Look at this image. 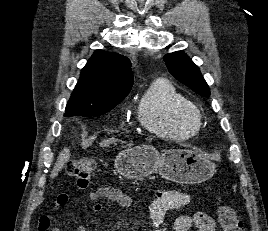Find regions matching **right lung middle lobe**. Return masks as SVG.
Here are the masks:
<instances>
[{"label": "right lung middle lobe", "mask_w": 268, "mask_h": 231, "mask_svg": "<svg viewBox=\"0 0 268 231\" xmlns=\"http://www.w3.org/2000/svg\"><path fill=\"white\" fill-rule=\"evenodd\" d=\"M121 101L122 100L112 101V102H102L99 104H92V105H80L78 103L68 102L64 116H67V117L73 116V115L100 116L109 112Z\"/></svg>", "instance_id": "obj_1"}]
</instances>
